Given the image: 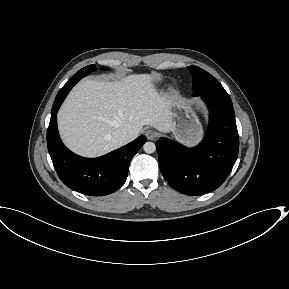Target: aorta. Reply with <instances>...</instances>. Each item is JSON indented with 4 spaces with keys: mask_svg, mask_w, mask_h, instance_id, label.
<instances>
[{
    "mask_svg": "<svg viewBox=\"0 0 289 289\" xmlns=\"http://www.w3.org/2000/svg\"><path fill=\"white\" fill-rule=\"evenodd\" d=\"M143 150L148 153V154H151V153H154L155 150H156V146L153 142H146L144 145H143Z\"/></svg>",
    "mask_w": 289,
    "mask_h": 289,
    "instance_id": "762f6f07",
    "label": "aorta"
}]
</instances>
